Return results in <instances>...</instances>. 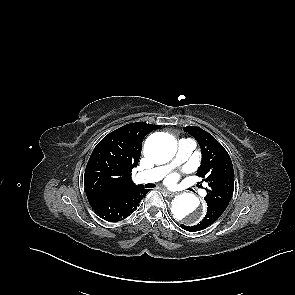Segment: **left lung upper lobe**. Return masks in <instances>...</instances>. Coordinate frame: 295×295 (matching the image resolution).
<instances>
[{
    "label": "left lung upper lobe",
    "mask_w": 295,
    "mask_h": 295,
    "mask_svg": "<svg viewBox=\"0 0 295 295\" xmlns=\"http://www.w3.org/2000/svg\"><path fill=\"white\" fill-rule=\"evenodd\" d=\"M201 148L202 161L197 176L208 183L206 200L229 203L234 191V170L224 147L208 132L195 126L184 127Z\"/></svg>",
    "instance_id": "left-lung-upper-lobe-1"
}]
</instances>
